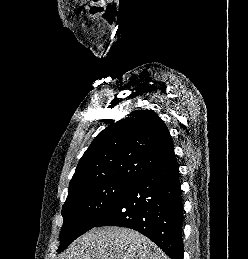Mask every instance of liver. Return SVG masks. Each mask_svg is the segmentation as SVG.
Segmentation results:
<instances>
[{
	"instance_id": "liver-1",
	"label": "liver",
	"mask_w": 248,
	"mask_h": 259,
	"mask_svg": "<svg viewBox=\"0 0 248 259\" xmlns=\"http://www.w3.org/2000/svg\"><path fill=\"white\" fill-rule=\"evenodd\" d=\"M60 259H169L139 232L117 226L93 228L77 238Z\"/></svg>"
}]
</instances>
